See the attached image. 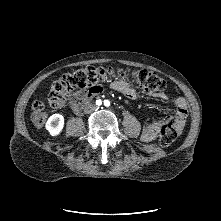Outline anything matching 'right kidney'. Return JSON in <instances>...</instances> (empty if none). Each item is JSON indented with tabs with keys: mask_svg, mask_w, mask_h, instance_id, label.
Wrapping results in <instances>:
<instances>
[{
	"mask_svg": "<svg viewBox=\"0 0 221 221\" xmlns=\"http://www.w3.org/2000/svg\"><path fill=\"white\" fill-rule=\"evenodd\" d=\"M64 127V117L61 114H53L46 122L45 128L51 136H58Z\"/></svg>",
	"mask_w": 221,
	"mask_h": 221,
	"instance_id": "right-kidney-1",
	"label": "right kidney"
}]
</instances>
